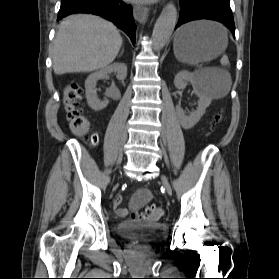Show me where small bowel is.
Here are the masks:
<instances>
[{
    "label": "small bowel",
    "instance_id": "c3829d8e",
    "mask_svg": "<svg viewBox=\"0 0 279 279\" xmlns=\"http://www.w3.org/2000/svg\"><path fill=\"white\" fill-rule=\"evenodd\" d=\"M151 199V192L146 188H141L135 192L132 197L130 208L133 211L141 208L145 203ZM121 197H118L114 202V212L119 217H124L127 214V210L120 207Z\"/></svg>",
    "mask_w": 279,
    "mask_h": 279
}]
</instances>
